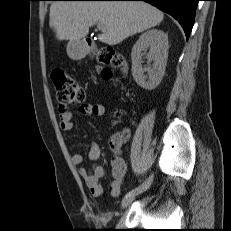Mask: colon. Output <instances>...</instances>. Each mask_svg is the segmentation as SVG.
<instances>
[{"label":"colon","instance_id":"5ec220e1","mask_svg":"<svg viewBox=\"0 0 231 231\" xmlns=\"http://www.w3.org/2000/svg\"><path fill=\"white\" fill-rule=\"evenodd\" d=\"M98 60L110 67H119L123 58L112 47H105L97 54ZM111 68H105L102 76L105 79L111 78ZM52 80L55 86L57 100L60 105H75L85 100V91L65 70L56 69L52 72ZM120 115V113H118Z\"/></svg>","mask_w":231,"mask_h":231}]
</instances>
